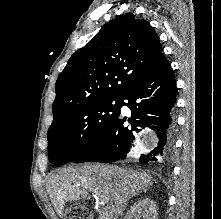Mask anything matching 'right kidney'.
<instances>
[{
	"instance_id": "obj_1",
	"label": "right kidney",
	"mask_w": 221,
	"mask_h": 219,
	"mask_svg": "<svg viewBox=\"0 0 221 219\" xmlns=\"http://www.w3.org/2000/svg\"><path fill=\"white\" fill-rule=\"evenodd\" d=\"M125 219H157V206L153 200L145 198L135 203Z\"/></svg>"
}]
</instances>
